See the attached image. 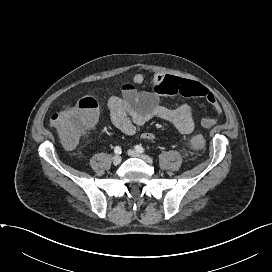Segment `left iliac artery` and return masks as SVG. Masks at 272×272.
I'll return each mask as SVG.
<instances>
[{
    "instance_id": "obj_1",
    "label": "left iliac artery",
    "mask_w": 272,
    "mask_h": 272,
    "mask_svg": "<svg viewBox=\"0 0 272 272\" xmlns=\"http://www.w3.org/2000/svg\"><path fill=\"white\" fill-rule=\"evenodd\" d=\"M134 148L137 152L140 153H143L145 151V149L141 145H136Z\"/></svg>"
}]
</instances>
